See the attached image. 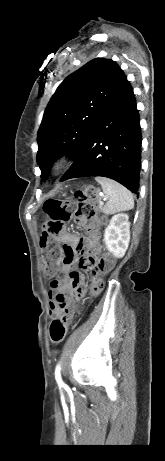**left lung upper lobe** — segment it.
<instances>
[{
  "label": "left lung upper lobe",
  "mask_w": 165,
  "mask_h": 461,
  "mask_svg": "<svg viewBox=\"0 0 165 461\" xmlns=\"http://www.w3.org/2000/svg\"><path fill=\"white\" fill-rule=\"evenodd\" d=\"M127 77L116 62L89 61L57 88L38 131L37 163L45 178L52 162L63 154L78 153Z\"/></svg>",
  "instance_id": "1"
}]
</instances>
